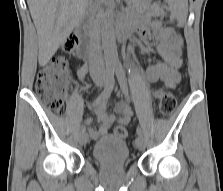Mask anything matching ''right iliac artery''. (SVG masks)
<instances>
[{"mask_svg":"<svg viewBox=\"0 0 223 191\" xmlns=\"http://www.w3.org/2000/svg\"><path fill=\"white\" fill-rule=\"evenodd\" d=\"M115 80H114V68L113 67H107V79H106V85L100 95L97 97L93 105H96L99 101L103 99H108L111 95L113 88H114ZM85 131V127H81L80 132Z\"/></svg>","mask_w":223,"mask_h":191,"instance_id":"right-iliac-artery-1","label":"right iliac artery"}]
</instances>
